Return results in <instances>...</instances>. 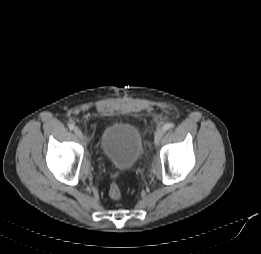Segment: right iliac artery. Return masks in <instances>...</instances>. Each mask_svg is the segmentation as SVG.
<instances>
[{
  "instance_id": "1",
  "label": "right iliac artery",
  "mask_w": 261,
  "mask_h": 254,
  "mask_svg": "<svg viewBox=\"0 0 261 254\" xmlns=\"http://www.w3.org/2000/svg\"><path fill=\"white\" fill-rule=\"evenodd\" d=\"M74 128H75V126H74L73 123L69 124V129H70V130H73Z\"/></svg>"
}]
</instances>
